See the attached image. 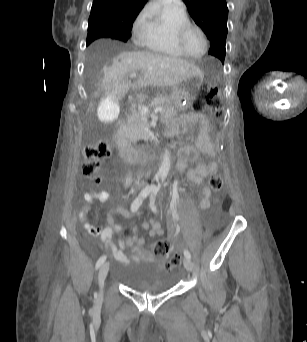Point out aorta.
Returning <instances> with one entry per match:
<instances>
[{
    "label": "aorta",
    "mask_w": 307,
    "mask_h": 342,
    "mask_svg": "<svg viewBox=\"0 0 307 342\" xmlns=\"http://www.w3.org/2000/svg\"><path fill=\"white\" fill-rule=\"evenodd\" d=\"M171 168V156L169 150H164L163 160L161 162V166L157 172V176H161V178H167Z\"/></svg>",
    "instance_id": "762f6f07"
}]
</instances>
